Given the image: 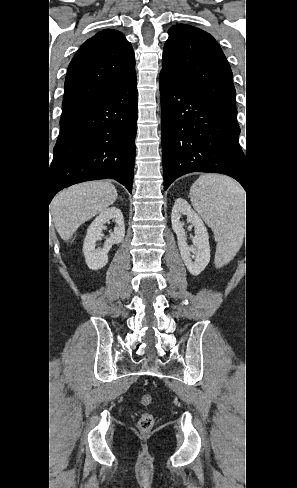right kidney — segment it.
<instances>
[{"instance_id":"1","label":"right kidney","mask_w":297,"mask_h":488,"mask_svg":"<svg viewBox=\"0 0 297 488\" xmlns=\"http://www.w3.org/2000/svg\"><path fill=\"white\" fill-rule=\"evenodd\" d=\"M111 219H114L116 226L109 238L106 239L103 249L96 250V242L103 237L104 224ZM124 236L125 225L121 210L117 207H111L101 212L89 226L84 239L83 253L88 267L92 270L103 268L108 262V252L112 245L121 243Z\"/></svg>"}]
</instances>
